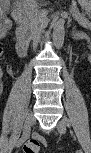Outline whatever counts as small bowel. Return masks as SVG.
Returning a JSON list of instances; mask_svg holds the SVG:
<instances>
[{
  "mask_svg": "<svg viewBox=\"0 0 91 153\" xmlns=\"http://www.w3.org/2000/svg\"><path fill=\"white\" fill-rule=\"evenodd\" d=\"M7 35V30H5L4 28H1L0 30V36L1 37H5ZM36 139H41L40 137H37Z\"/></svg>",
  "mask_w": 91,
  "mask_h": 153,
  "instance_id": "obj_1",
  "label": "small bowel"
}]
</instances>
